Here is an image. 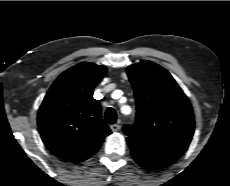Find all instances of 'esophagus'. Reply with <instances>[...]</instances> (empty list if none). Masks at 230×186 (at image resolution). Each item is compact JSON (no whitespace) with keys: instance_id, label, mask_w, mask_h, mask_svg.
Segmentation results:
<instances>
[{"instance_id":"1","label":"esophagus","mask_w":230,"mask_h":186,"mask_svg":"<svg viewBox=\"0 0 230 186\" xmlns=\"http://www.w3.org/2000/svg\"><path fill=\"white\" fill-rule=\"evenodd\" d=\"M110 128L113 132H117L120 130L121 126L119 124H113L110 126Z\"/></svg>"}]
</instances>
